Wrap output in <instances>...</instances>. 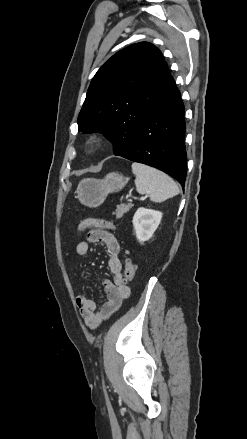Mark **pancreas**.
<instances>
[{
	"label": "pancreas",
	"mask_w": 247,
	"mask_h": 439,
	"mask_svg": "<svg viewBox=\"0 0 247 439\" xmlns=\"http://www.w3.org/2000/svg\"><path fill=\"white\" fill-rule=\"evenodd\" d=\"M132 208V204H120L117 206V209L115 212H113V215L116 216V218H121L125 213H127Z\"/></svg>",
	"instance_id": "obj_1"
}]
</instances>
